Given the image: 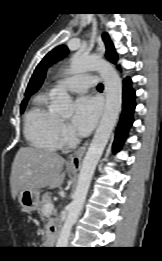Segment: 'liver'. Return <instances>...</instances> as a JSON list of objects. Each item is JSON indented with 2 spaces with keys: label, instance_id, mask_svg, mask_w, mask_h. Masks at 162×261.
I'll list each match as a JSON object with an SVG mask.
<instances>
[{
  "label": "liver",
  "instance_id": "liver-1",
  "mask_svg": "<svg viewBox=\"0 0 162 261\" xmlns=\"http://www.w3.org/2000/svg\"><path fill=\"white\" fill-rule=\"evenodd\" d=\"M64 162V158L54 152L33 147L20 148L11 169L12 198L15 199L23 190L60 187L65 178V173H62Z\"/></svg>",
  "mask_w": 162,
  "mask_h": 261
}]
</instances>
